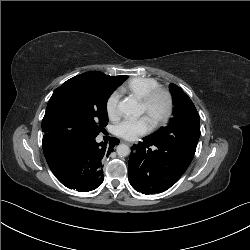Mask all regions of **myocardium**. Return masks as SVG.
<instances>
[{"label":"myocardium","mask_w":250,"mask_h":250,"mask_svg":"<svg viewBox=\"0 0 250 250\" xmlns=\"http://www.w3.org/2000/svg\"><path fill=\"white\" fill-rule=\"evenodd\" d=\"M158 97H163L165 100V110L163 114L151 118V122L155 127L166 124L172 117L174 112V98L172 93L163 87H157L148 92L142 99L141 103L145 109V113L150 115L151 107Z\"/></svg>","instance_id":"f54148a6"}]
</instances>
